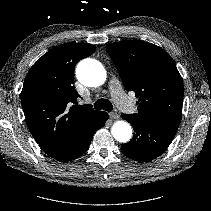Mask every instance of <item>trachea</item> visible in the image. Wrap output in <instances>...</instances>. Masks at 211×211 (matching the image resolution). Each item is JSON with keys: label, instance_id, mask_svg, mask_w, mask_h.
<instances>
[{"label": "trachea", "instance_id": "trachea-1", "mask_svg": "<svg viewBox=\"0 0 211 211\" xmlns=\"http://www.w3.org/2000/svg\"><path fill=\"white\" fill-rule=\"evenodd\" d=\"M94 108L98 110L103 109L105 111L111 112L113 110V105L109 100L101 98L95 102Z\"/></svg>", "mask_w": 211, "mask_h": 211}]
</instances>
